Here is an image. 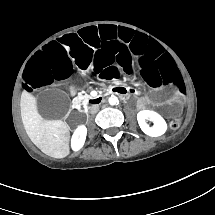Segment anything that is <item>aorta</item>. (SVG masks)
<instances>
[{"label":"aorta","instance_id":"aorta-1","mask_svg":"<svg viewBox=\"0 0 215 215\" xmlns=\"http://www.w3.org/2000/svg\"><path fill=\"white\" fill-rule=\"evenodd\" d=\"M118 102H119V100H118V97H116V96H111L109 98L110 105H116Z\"/></svg>","mask_w":215,"mask_h":215}]
</instances>
